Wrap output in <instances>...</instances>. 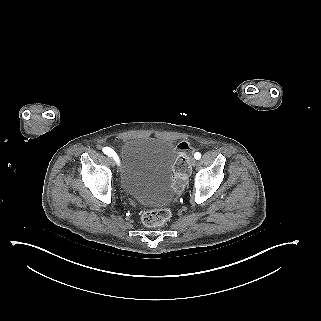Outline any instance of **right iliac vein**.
I'll return each instance as SVG.
<instances>
[{"instance_id":"63e3f726","label":"right iliac vein","mask_w":321,"mask_h":321,"mask_svg":"<svg viewBox=\"0 0 321 321\" xmlns=\"http://www.w3.org/2000/svg\"><path fill=\"white\" fill-rule=\"evenodd\" d=\"M108 161H109L111 166H115V161H114L113 158H109Z\"/></svg>"}]
</instances>
